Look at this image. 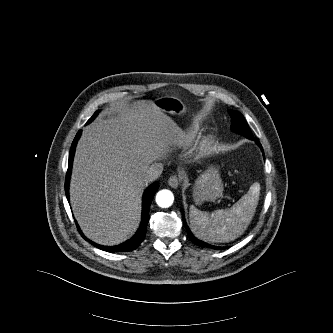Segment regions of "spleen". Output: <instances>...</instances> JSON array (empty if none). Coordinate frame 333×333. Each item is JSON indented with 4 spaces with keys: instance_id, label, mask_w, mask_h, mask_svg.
<instances>
[{
    "instance_id": "1",
    "label": "spleen",
    "mask_w": 333,
    "mask_h": 333,
    "mask_svg": "<svg viewBox=\"0 0 333 333\" xmlns=\"http://www.w3.org/2000/svg\"><path fill=\"white\" fill-rule=\"evenodd\" d=\"M260 185L254 183L247 194L231 208L211 214L190 206V225L194 235L206 242H229L244 233L250 224L259 200Z\"/></svg>"
}]
</instances>
